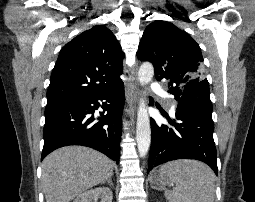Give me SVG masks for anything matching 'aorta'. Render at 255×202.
<instances>
[{"label":"aorta","mask_w":255,"mask_h":202,"mask_svg":"<svg viewBox=\"0 0 255 202\" xmlns=\"http://www.w3.org/2000/svg\"><path fill=\"white\" fill-rule=\"evenodd\" d=\"M154 67L151 63H143L138 71V81L141 86L147 85L153 78ZM136 141L139 155L146 156L151 144L150 119L144 99H140L137 123H136Z\"/></svg>","instance_id":"aorta-1"}]
</instances>
